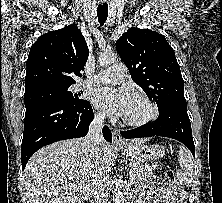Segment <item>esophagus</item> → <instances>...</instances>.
Masks as SVG:
<instances>
[{
    "label": "esophagus",
    "instance_id": "34e87169",
    "mask_svg": "<svg viewBox=\"0 0 222 203\" xmlns=\"http://www.w3.org/2000/svg\"><path fill=\"white\" fill-rule=\"evenodd\" d=\"M112 136H113V144L115 146L122 147L126 145V143L124 142V140L122 139L121 135L117 130H113Z\"/></svg>",
    "mask_w": 222,
    "mask_h": 203
}]
</instances>
